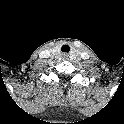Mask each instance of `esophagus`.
<instances>
[{
	"instance_id": "34e87169",
	"label": "esophagus",
	"mask_w": 124,
	"mask_h": 124,
	"mask_svg": "<svg viewBox=\"0 0 124 124\" xmlns=\"http://www.w3.org/2000/svg\"><path fill=\"white\" fill-rule=\"evenodd\" d=\"M63 57H64L65 59H67V58H68V55H67V54H64Z\"/></svg>"
}]
</instances>
